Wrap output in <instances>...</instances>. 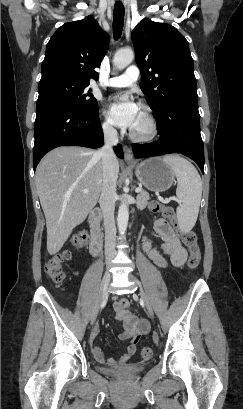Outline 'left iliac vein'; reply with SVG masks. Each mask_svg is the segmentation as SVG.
Instances as JSON below:
<instances>
[{
	"mask_svg": "<svg viewBox=\"0 0 243 409\" xmlns=\"http://www.w3.org/2000/svg\"><path fill=\"white\" fill-rule=\"evenodd\" d=\"M129 278H130L134 283H136V284H138V285L140 284L139 280H138L134 275L130 274V275H129ZM140 296H141V299L143 300V302H144V304H145V308H146L147 312H148L151 316H153V309H152L151 303L149 302V299L147 298V296L145 295V293H144L143 290H140Z\"/></svg>",
	"mask_w": 243,
	"mask_h": 409,
	"instance_id": "left-iliac-vein-1",
	"label": "left iliac vein"
}]
</instances>
